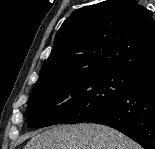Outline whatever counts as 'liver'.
Wrapping results in <instances>:
<instances>
[{"instance_id":"liver-1","label":"liver","mask_w":155,"mask_h":149,"mask_svg":"<svg viewBox=\"0 0 155 149\" xmlns=\"http://www.w3.org/2000/svg\"><path fill=\"white\" fill-rule=\"evenodd\" d=\"M24 149H142L119 131L99 124L59 125L34 135Z\"/></svg>"}]
</instances>
